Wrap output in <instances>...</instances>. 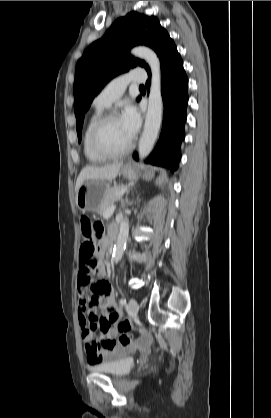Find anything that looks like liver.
Instances as JSON below:
<instances>
[{
	"mask_svg": "<svg viewBox=\"0 0 271 418\" xmlns=\"http://www.w3.org/2000/svg\"><path fill=\"white\" fill-rule=\"evenodd\" d=\"M122 163H115L110 165H105L103 167H96V166H85L76 181L75 192L77 193L78 189L81 185L90 179H99L105 181H112L118 175Z\"/></svg>",
	"mask_w": 271,
	"mask_h": 418,
	"instance_id": "obj_1",
	"label": "liver"
}]
</instances>
